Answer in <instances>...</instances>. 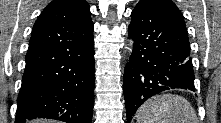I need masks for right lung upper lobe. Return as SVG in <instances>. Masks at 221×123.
<instances>
[{"label":"right lung upper lobe","instance_id":"right-lung-upper-lobe-1","mask_svg":"<svg viewBox=\"0 0 221 123\" xmlns=\"http://www.w3.org/2000/svg\"><path fill=\"white\" fill-rule=\"evenodd\" d=\"M89 8L85 0H53L34 24L29 49L68 44L92 32Z\"/></svg>","mask_w":221,"mask_h":123}]
</instances>
